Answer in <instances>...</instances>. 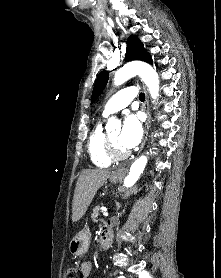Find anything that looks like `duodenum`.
Returning a JSON list of instances; mask_svg holds the SVG:
<instances>
[{
  "label": "duodenum",
  "mask_w": 221,
  "mask_h": 278,
  "mask_svg": "<svg viewBox=\"0 0 221 278\" xmlns=\"http://www.w3.org/2000/svg\"><path fill=\"white\" fill-rule=\"evenodd\" d=\"M113 237V227L112 225L106 226L102 232H101V238H100V251H105L109 248Z\"/></svg>",
  "instance_id": "1"
}]
</instances>
